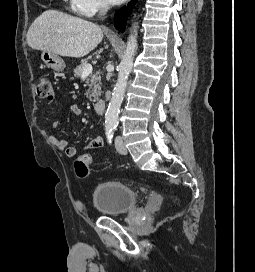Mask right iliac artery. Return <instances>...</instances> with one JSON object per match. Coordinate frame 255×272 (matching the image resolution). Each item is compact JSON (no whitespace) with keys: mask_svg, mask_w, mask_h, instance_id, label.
I'll return each mask as SVG.
<instances>
[{"mask_svg":"<svg viewBox=\"0 0 255 272\" xmlns=\"http://www.w3.org/2000/svg\"><path fill=\"white\" fill-rule=\"evenodd\" d=\"M106 136H107V140L109 143L112 142V138H113V129H106Z\"/></svg>","mask_w":255,"mask_h":272,"instance_id":"82829eb1","label":"right iliac artery"}]
</instances>
